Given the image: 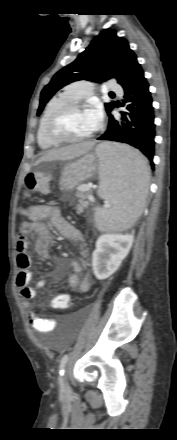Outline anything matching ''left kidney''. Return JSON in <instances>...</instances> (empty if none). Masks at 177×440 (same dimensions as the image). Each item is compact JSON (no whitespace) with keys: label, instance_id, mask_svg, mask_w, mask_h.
Masks as SVG:
<instances>
[{"label":"left kidney","instance_id":"obj_1","mask_svg":"<svg viewBox=\"0 0 177 440\" xmlns=\"http://www.w3.org/2000/svg\"><path fill=\"white\" fill-rule=\"evenodd\" d=\"M133 239V235L120 233H108L98 238L92 254L93 271L98 280L107 279L119 268L131 249Z\"/></svg>","mask_w":177,"mask_h":440}]
</instances>
